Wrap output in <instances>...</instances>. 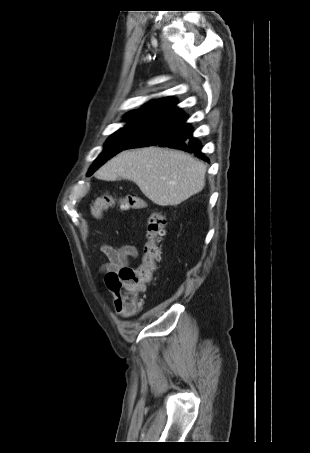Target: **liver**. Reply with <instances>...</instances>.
<instances>
[{
	"instance_id": "liver-1",
	"label": "liver",
	"mask_w": 310,
	"mask_h": 453,
	"mask_svg": "<svg viewBox=\"0 0 310 453\" xmlns=\"http://www.w3.org/2000/svg\"><path fill=\"white\" fill-rule=\"evenodd\" d=\"M206 166L181 151L145 147L123 151L109 160L95 176L135 182L142 193L160 206H176L202 191Z\"/></svg>"
}]
</instances>
